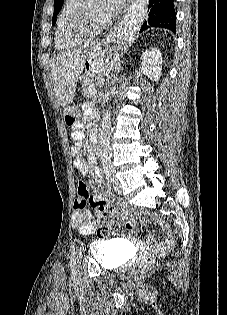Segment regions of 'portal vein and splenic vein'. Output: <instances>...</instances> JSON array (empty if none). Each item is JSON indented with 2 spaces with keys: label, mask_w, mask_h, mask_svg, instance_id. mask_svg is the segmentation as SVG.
<instances>
[{
  "label": "portal vein and splenic vein",
  "mask_w": 227,
  "mask_h": 315,
  "mask_svg": "<svg viewBox=\"0 0 227 315\" xmlns=\"http://www.w3.org/2000/svg\"><path fill=\"white\" fill-rule=\"evenodd\" d=\"M91 94H92V95H95V94H96L95 88L91 89Z\"/></svg>",
  "instance_id": "obj_1"
}]
</instances>
